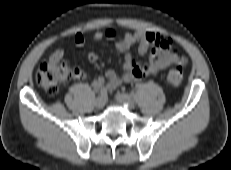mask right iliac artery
<instances>
[{
    "label": "right iliac artery",
    "mask_w": 231,
    "mask_h": 170,
    "mask_svg": "<svg viewBox=\"0 0 231 170\" xmlns=\"http://www.w3.org/2000/svg\"><path fill=\"white\" fill-rule=\"evenodd\" d=\"M99 96L102 98H105L107 96V90L106 89H100Z\"/></svg>",
    "instance_id": "right-iliac-artery-1"
}]
</instances>
